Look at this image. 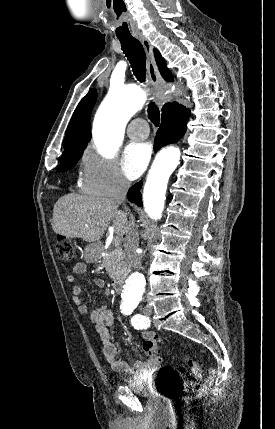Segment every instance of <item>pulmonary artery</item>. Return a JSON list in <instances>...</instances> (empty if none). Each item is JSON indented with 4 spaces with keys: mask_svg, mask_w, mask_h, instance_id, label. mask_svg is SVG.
Segmentation results:
<instances>
[{
    "mask_svg": "<svg viewBox=\"0 0 275 429\" xmlns=\"http://www.w3.org/2000/svg\"><path fill=\"white\" fill-rule=\"evenodd\" d=\"M127 134L134 140H143L147 138L149 129L146 121L142 118L132 120L127 127Z\"/></svg>",
    "mask_w": 275,
    "mask_h": 429,
    "instance_id": "pulmonary-artery-1",
    "label": "pulmonary artery"
}]
</instances>
